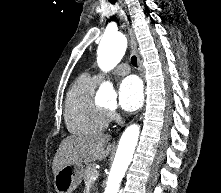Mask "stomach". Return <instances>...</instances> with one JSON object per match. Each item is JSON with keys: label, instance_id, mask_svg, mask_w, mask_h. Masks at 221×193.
<instances>
[{"label": "stomach", "instance_id": "stomach-1", "mask_svg": "<svg viewBox=\"0 0 221 193\" xmlns=\"http://www.w3.org/2000/svg\"><path fill=\"white\" fill-rule=\"evenodd\" d=\"M84 175L82 164H72L61 168L54 175V186L57 193H72L81 183Z\"/></svg>", "mask_w": 221, "mask_h": 193}]
</instances>
